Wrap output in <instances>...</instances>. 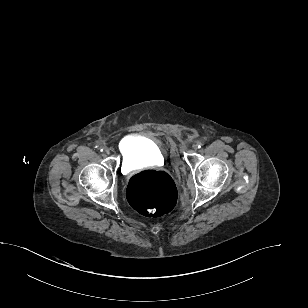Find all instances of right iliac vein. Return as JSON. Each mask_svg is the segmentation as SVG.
Instances as JSON below:
<instances>
[{
	"label": "right iliac vein",
	"mask_w": 308,
	"mask_h": 308,
	"mask_svg": "<svg viewBox=\"0 0 308 308\" xmlns=\"http://www.w3.org/2000/svg\"><path fill=\"white\" fill-rule=\"evenodd\" d=\"M104 152H105L106 154H109V153H110V150H109L107 147H105V148H104Z\"/></svg>",
	"instance_id": "1"
}]
</instances>
